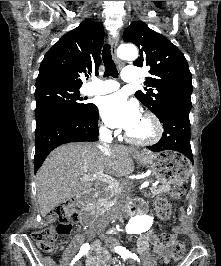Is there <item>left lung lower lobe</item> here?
<instances>
[{"mask_svg": "<svg viewBox=\"0 0 221 266\" xmlns=\"http://www.w3.org/2000/svg\"><path fill=\"white\" fill-rule=\"evenodd\" d=\"M189 112L183 109L168 111L161 121L164 132L160 141L148 149L153 152L173 151L185 155L193 162L190 145Z\"/></svg>", "mask_w": 221, "mask_h": 266, "instance_id": "0a47b994", "label": "left lung lower lobe"}]
</instances>
